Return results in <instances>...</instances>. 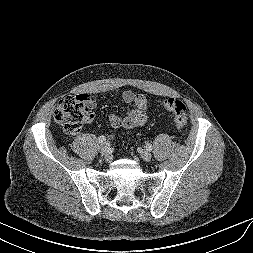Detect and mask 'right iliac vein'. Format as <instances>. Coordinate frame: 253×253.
<instances>
[{
	"label": "right iliac vein",
	"mask_w": 253,
	"mask_h": 253,
	"mask_svg": "<svg viewBox=\"0 0 253 253\" xmlns=\"http://www.w3.org/2000/svg\"><path fill=\"white\" fill-rule=\"evenodd\" d=\"M99 151L102 153V154H105V155H108V152H109V145L106 144V143H103L99 146Z\"/></svg>",
	"instance_id": "obj_1"
}]
</instances>
